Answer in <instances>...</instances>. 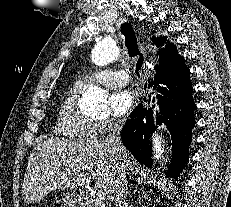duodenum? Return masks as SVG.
<instances>
[{"instance_id": "1", "label": "duodenum", "mask_w": 231, "mask_h": 207, "mask_svg": "<svg viewBox=\"0 0 231 207\" xmlns=\"http://www.w3.org/2000/svg\"><path fill=\"white\" fill-rule=\"evenodd\" d=\"M77 199L85 207H89L92 204L91 197L87 193L84 192L77 193Z\"/></svg>"}]
</instances>
